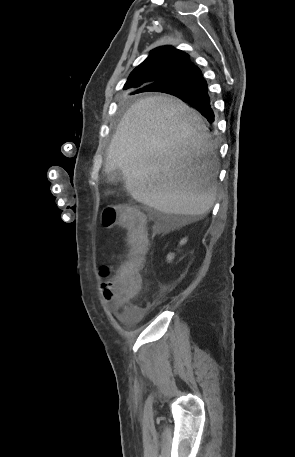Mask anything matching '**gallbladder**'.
Segmentation results:
<instances>
[{
  "label": "gallbladder",
  "mask_w": 295,
  "mask_h": 457,
  "mask_svg": "<svg viewBox=\"0 0 295 457\" xmlns=\"http://www.w3.org/2000/svg\"><path fill=\"white\" fill-rule=\"evenodd\" d=\"M106 179L109 183H117L124 181V174L121 170H115L107 174Z\"/></svg>",
  "instance_id": "obj_1"
}]
</instances>
